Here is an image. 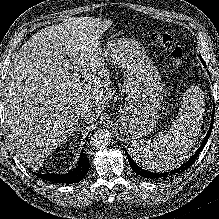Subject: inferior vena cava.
<instances>
[{"mask_svg":"<svg viewBox=\"0 0 219 219\" xmlns=\"http://www.w3.org/2000/svg\"><path fill=\"white\" fill-rule=\"evenodd\" d=\"M91 115H92V112L87 107L80 108L77 111V117L79 119H86L90 117Z\"/></svg>","mask_w":219,"mask_h":219,"instance_id":"obj_1","label":"inferior vena cava"}]
</instances>
